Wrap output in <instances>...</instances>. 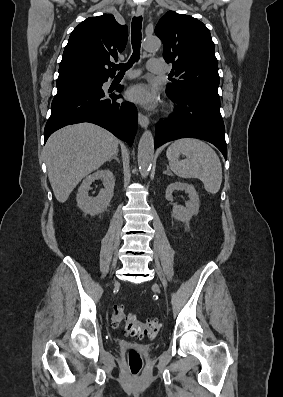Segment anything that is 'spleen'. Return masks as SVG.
<instances>
[{"label":"spleen","mask_w":283,"mask_h":397,"mask_svg":"<svg viewBox=\"0 0 283 397\" xmlns=\"http://www.w3.org/2000/svg\"><path fill=\"white\" fill-rule=\"evenodd\" d=\"M180 154L186 159L179 160ZM170 169L179 177L198 178L205 190L216 194L222 183V167L216 152L205 142L183 138L174 141L167 149Z\"/></svg>","instance_id":"spleen-1"}]
</instances>
